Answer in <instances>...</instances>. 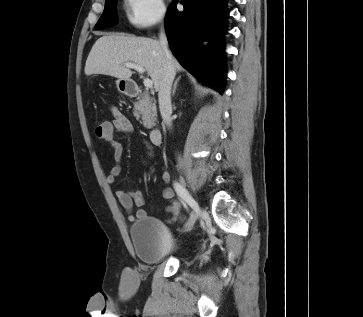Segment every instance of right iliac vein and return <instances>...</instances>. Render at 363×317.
<instances>
[{"instance_id": "obj_1", "label": "right iliac vein", "mask_w": 363, "mask_h": 317, "mask_svg": "<svg viewBox=\"0 0 363 317\" xmlns=\"http://www.w3.org/2000/svg\"><path fill=\"white\" fill-rule=\"evenodd\" d=\"M200 211V207H199V205L197 204V210H196V212L198 213ZM194 220H195V218H192L191 220H190V222L188 223V225H187V230H189L190 228H191V226L193 225V223H194Z\"/></svg>"}]
</instances>
